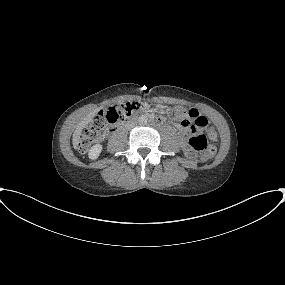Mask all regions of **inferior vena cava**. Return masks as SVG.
<instances>
[{"label": "inferior vena cava", "instance_id": "1", "mask_svg": "<svg viewBox=\"0 0 285 285\" xmlns=\"http://www.w3.org/2000/svg\"><path fill=\"white\" fill-rule=\"evenodd\" d=\"M136 125H137L136 122H132V123H130V124L127 125V129H132V128H134Z\"/></svg>", "mask_w": 285, "mask_h": 285}]
</instances>
